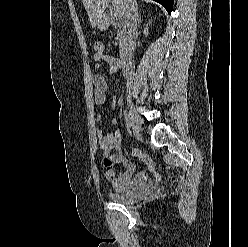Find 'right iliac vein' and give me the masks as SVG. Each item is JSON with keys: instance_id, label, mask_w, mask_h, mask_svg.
Here are the masks:
<instances>
[{"instance_id": "right-iliac-vein-1", "label": "right iliac vein", "mask_w": 248, "mask_h": 247, "mask_svg": "<svg viewBox=\"0 0 248 247\" xmlns=\"http://www.w3.org/2000/svg\"><path fill=\"white\" fill-rule=\"evenodd\" d=\"M128 108H129V114H130V119H131V127L133 134L135 135L136 138L140 139L141 138V133H140V121L138 116L135 114L133 110V106L131 103V100H127Z\"/></svg>"}]
</instances>
